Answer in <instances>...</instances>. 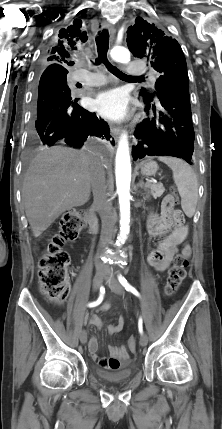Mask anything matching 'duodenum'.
Masks as SVG:
<instances>
[{
  "label": "duodenum",
  "instance_id": "duodenum-1",
  "mask_svg": "<svg viewBox=\"0 0 222 429\" xmlns=\"http://www.w3.org/2000/svg\"><path fill=\"white\" fill-rule=\"evenodd\" d=\"M86 221L91 234H96L99 229L98 218L92 208L87 209Z\"/></svg>",
  "mask_w": 222,
  "mask_h": 429
}]
</instances>
